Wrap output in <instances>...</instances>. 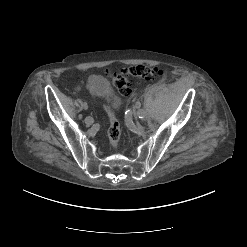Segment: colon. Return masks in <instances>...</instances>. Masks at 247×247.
<instances>
[{"label":"colon","mask_w":247,"mask_h":247,"mask_svg":"<svg viewBox=\"0 0 247 247\" xmlns=\"http://www.w3.org/2000/svg\"><path fill=\"white\" fill-rule=\"evenodd\" d=\"M164 72L158 67L136 65L121 68L118 72L110 73L113 86L124 96L131 93V78L143 81H153L162 78ZM109 115L108 140L112 149H116L121 135L119 121L112 110H107Z\"/></svg>","instance_id":"5ec220e1"}]
</instances>
